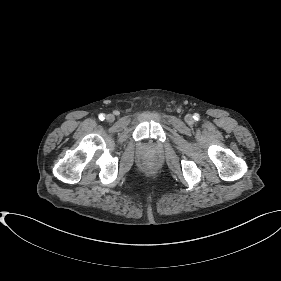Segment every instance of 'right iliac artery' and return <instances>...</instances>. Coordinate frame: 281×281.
<instances>
[{"mask_svg":"<svg viewBox=\"0 0 281 281\" xmlns=\"http://www.w3.org/2000/svg\"><path fill=\"white\" fill-rule=\"evenodd\" d=\"M99 119H100V120H104V119H105V114H100V115H99Z\"/></svg>","mask_w":281,"mask_h":281,"instance_id":"1","label":"right iliac artery"}]
</instances>
